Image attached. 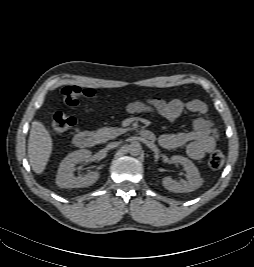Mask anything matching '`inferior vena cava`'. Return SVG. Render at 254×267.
Returning <instances> with one entry per match:
<instances>
[{"instance_id": "1", "label": "inferior vena cava", "mask_w": 254, "mask_h": 267, "mask_svg": "<svg viewBox=\"0 0 254 267\" xmlns=\"http://www.w3.org/2000/svg\"><path fill=\"white\" fill-rule=\"evenodd\" d=\"M118 146V143L112 142L107 145V149H113Z\"/></svg>"}]
</instances>
